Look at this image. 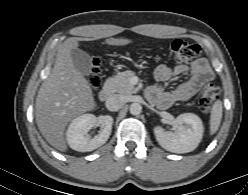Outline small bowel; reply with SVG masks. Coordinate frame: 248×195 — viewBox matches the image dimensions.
<instances>
[{
  "label": "small bowel",
  "instance_id": "1",
  "mask_svg": "<svg viewBox=\"0 0 248 195\" xmlns=\"http://www.w3.org/2000/svg\"><path fill=\"white\" fill-rule=\"evenodd\" d=\"M186 75V79L172 90H166L164 83L175 76ZM157 84L148 89V97L156 105L168 108L175 103L190 100L199 88L213 78V72L206 60L200 59L191 66L179 64L173 68L160 65L155 69Z\"/></svg>",
  "mask_w": 248,
  "mask_h": 195
}]
</instances>
